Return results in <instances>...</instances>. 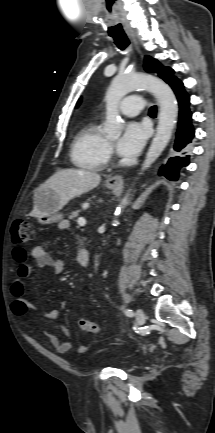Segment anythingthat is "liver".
I'll list each match as a JSON object with an SVG mask.
<instances>
[{
	"mask_svg": "<svg viewBox=\"0 0 215 433\" xmlns=\"http://www.w3.org/2000/svg\"><path fill=\"white\" fill-rule=\"evenodd\" d=\"M100 181L101 176L95 172L81 169H62L54 173L40 187L52 190L56 194L59 207L62 208L71 199L97 187ZM31 216H40L35 205Z\"/></svg>",
	"mask_w": 215,
	"mask_h": 433,
	"instance_id": "1",
	"label": "liver"
}]
</instances>
